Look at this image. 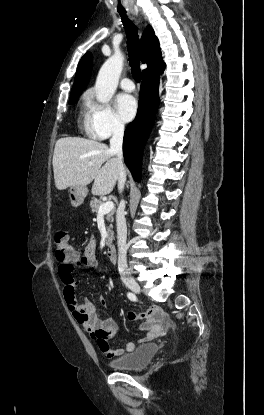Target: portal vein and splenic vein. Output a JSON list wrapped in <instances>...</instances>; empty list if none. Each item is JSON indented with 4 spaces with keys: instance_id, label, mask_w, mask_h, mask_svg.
Masks as SVG:
<instances>
[{
    "instance_id": "1",
    "label": "portal vein and splenic vein",
    "mask_w": 264,
    "mask_h": 415,
    "mask_svg": "<svg viewBox=\"0 0 264 415\" xmlns=\"http://www.w3.org/2000/svg\"><path fill=\"white\" fill-rule=\"evenodd\" d=\"M113 208H114V203L112 201H107L99 207L98 214H107Z\"/></svg>"
}]
</instances>
